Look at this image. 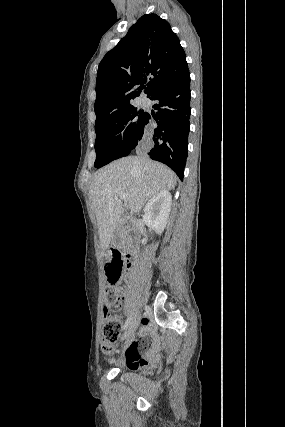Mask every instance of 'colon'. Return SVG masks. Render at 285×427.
<instances>
[{
  "label": "colon",
  "mask_w": 285,
  "mask_h": 427,
  "mask_svg": "<svg viewBox=\"0 0 285 427\" xmlns=\"http://www.w3.org/2000/svg\"><path fill=\"white\" fill-rule=\"evenodd\" d=\"M124 272V261L119 253H111L105 263V273L110 284L105 289L104 321L102 329V348L105 352H111L121 336L123 324L120 319L113 316L121 305L122 292L118 282Z\"/></svg>",
  "instance_id": "1"
}]
</instances>
